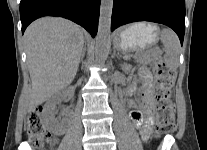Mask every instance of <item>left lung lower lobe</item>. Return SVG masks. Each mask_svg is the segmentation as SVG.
Returning <instances> with one entry per match:
<instances>
[{
  "instance_id": "left-lung-lower-lobe-1",
  "label": "left lung lower lobe",
  "mask_w": 207,
  "mask_h": 150,
  "mask_svg": "<svg viewBox=\"0 0 207 150\" xmlns=\"http://www.w3.org/2000/svg\"><path fill=\"white\" fill-rule=\"evenodd\" d=\"M137 21L161 23L172 28L183 43L185 33L184 0H114L111 31Z\"/></svg>"
}]
</instances>
